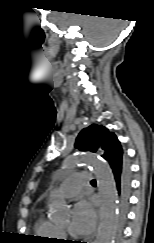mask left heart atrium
Returning <instances> with one entry per match:
<instances>
[{
    "instance_id": "obj_1",
    "label": "left heart atrium",
    "mask_w": 154,
    "mask_h": 243,
    "mask_svg": "<svg viewBox=\"0 0 154 243\" xmlns=\"http://www.w3.org/2000/svg\"><path fill=\"white\" fill-rule=\"evenodd\" d=\"M96 225V213L93 205L87 200L79 201L73 212L70 230L77 235L90 234Z\"/></svg>"
}]
</instances>
